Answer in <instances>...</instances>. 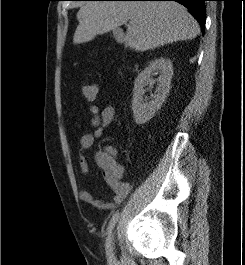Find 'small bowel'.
<instances>
[{"label":"small bowel","instance_id":"c3829d8e","mask_svg":"<svg viewBox=\"0 0 245 265\" xmlns=\"http://www.w3.org/2000/svg\"><path fill=\"white\" fill-rule=\"evenodd\" d=\"M89 111L92 114L91 126L92 131L83 134L79 141V171L80 174L86 175L89 171V165L86 158V152L90 151L97 139L102 137L106 128H108L116 119V110L113 104L106 105L101 111L98 106L90 105ZM117 150L114 146H106L102 151L95 154V162L101 168L103 177L113 192L109 200H100L91 192L81 190L79 197L85 203L98 209H113L119 205L131 190L130 183L121 179L122 168L116 159ZM109 157L117 165L116 172L105 169L102 166V158Z\"/></svg>","mask_w":245,"mask_h":265}]
</instances>
